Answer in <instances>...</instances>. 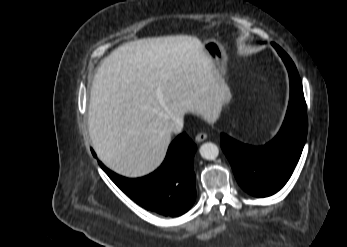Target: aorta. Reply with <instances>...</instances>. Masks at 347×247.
Here are the masks:
<instances>
[{"instance_id":"aorta-1","label":"aorta","mask_w":347,"mask_h":247,"mask_svg":"<svg viewBox=\"0 0 347 247\" xmlns=\"http://www.w3.org/2000/svg\"><path fill=\"white\" fill-rule=\"evenodd\" d=\"M199 152L202 158L206 160H214L219 155V148L212 142H206L201 145Z\"/></svg>"}]
</instances>
